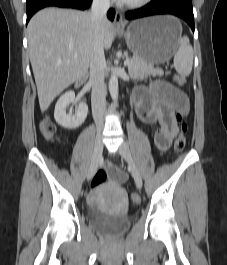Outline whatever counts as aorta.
Segmentation results:
<instances>
[{"label":"aorta","mask_w":227,"mask_h":265,"mask_svg":"<svg viewBox=\"0 0 227 265\" xmlns=\"http://www.w3.org/2000/svg\"><path fill=\"white\" fill-rule=\"evenodd\" d=\"M109 91L114 103L118 100V78L115 74H112L109 80Z\"/></svg>","instance_id":"aorta-1"}]
</instances>
